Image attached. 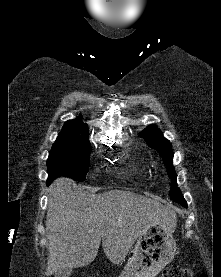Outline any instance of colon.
<instances>
[{"instance_id":"5ec220e1","label":"colon","mask_w":221,"mask_h":277,"mask_svg":"<svg viewBox=\"0 0 221 277\" xmlns=\"http://www.w3.org/2000/svg\"><path fill=\"white\" fill-rule=\"evenodd\" d=\"M191 276H192L191 269L184 264L169 266L164 270L162 274V277H191Z\"/></svg>"}]
</instances>
